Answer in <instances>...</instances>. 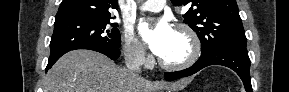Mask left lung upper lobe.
I'll return each instance as SVG.
<instances>
[{"label": "left lung upper lobe", "instance_id": "obj_1", "mask_svg": "<svg viewBox=\"0 0 289 92\" xmlns=\"http://www.w3.org/2000/svg\"><path fill=\"white\" fill-rule=\"evenodd\" d=\"M175 6L191 3L184 22L198 35L205 56L224 47H246V37L235 0H171Z\"/></svg>", "mask_w": 289, "mask_h": 92}]
</instances>
